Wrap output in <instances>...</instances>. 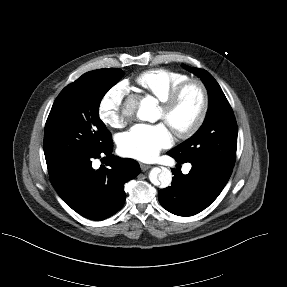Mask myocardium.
<instances>
[{
	"mask_svg": "<svg viewBox=\"0 0 287 287\" xmlns=\"http://www.w3.org/2000/svg\"><path fill=\"white\" fill-rule=\"evenodd\" d=\"M190 87H196L201 95V107L194 122L184 129H172L179 139H187L196 134L204 124L210 105L209 93L205 84L196 78H188L176 86L167 99L161 102V110L167 119L178 107L183 95Z\"/></svg>",
	"mask_w": 287,
	"mask_h": 287,
	"instance_id": "f54148a6",
	"label": "myocardium"
}]
</instances>
